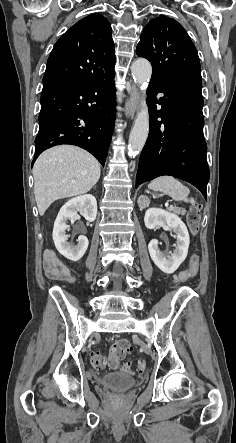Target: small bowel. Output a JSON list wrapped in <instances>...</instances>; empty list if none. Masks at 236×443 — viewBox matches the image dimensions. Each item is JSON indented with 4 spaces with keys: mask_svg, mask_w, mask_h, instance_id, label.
I'll return each instance as SVG.
<instances>
[{
    "mask_svg": "<svg viewBox=\"0 0 236 443\" xmlns=\"http://www.w3.org/2000/svg\"><path fill=\"white\" fill-rule=\"evenodd\" d=\"M44 269L51 280L64 282L74 280L72 268L52 249H48L44 253Z\"/></svg>",
    "mask_w": 236,
    "mask_h": 443,
    "instance_id": "obj_1",
    "label": "small bowel"
}]
</instances>
